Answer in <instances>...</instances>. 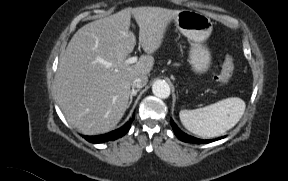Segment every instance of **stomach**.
Listing matches in <instances>:
<instances>
[{
  "label": "stomach",
  "instance_id": "0dacf381",
  "mask_svg": "<svg viewBox=\"0 0 288 181\" xmlns=\"http://www.w3.org/2000/svg\"><path fill=\"white\" fill-rule=\"evenodd\" d=\"M174 21L179 31L192 41L188 61L193 71L205 73L211 65V53L203 43L209 38L213 23L206 15L192 10L179 11Z\"/></svg>",
  "mask_w": 288,
  "mask_h": 181
}]
</instances>
